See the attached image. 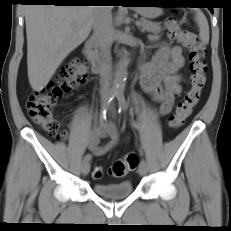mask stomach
Instances as JSON below:
<instances>
[{"mask_svg":"<svg viewBox=\"0 0 231 231\" xmlns=\"http://www.w3.org/2000/svg\"><path fill=\"white\" fill-rule=\"evenodd\" d=\"M156 8H149V7H136V11L146 18H154L157 14L154 12ZM159 9V8H157Z\"/></svg>","mask_w":231,"mask_h":231,"instance_id":"1","label":"stomach"}]
</instances>
